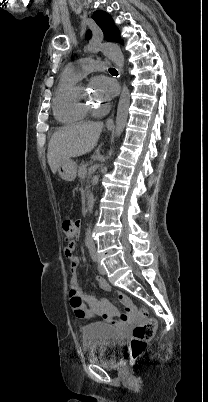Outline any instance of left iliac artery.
Wrapping results in <instances>:
<instances>
[{
    "instance_id": "obj_1",
    "label": "left iliac artery",
    "mask_w": 208,
    "mask_h": 402,
    "mask_svg": "<svg viewBox=\"0 0 208 402\" xmlns=\"http://www.w3.org/2000/svg\"><path fill=\"white\" fill-rule=\"evenodd\" d=\"M92 259H93L94 261H96L97 258H96V255H95V254L92 255Z\"/></svg>"
}]
</instances>
